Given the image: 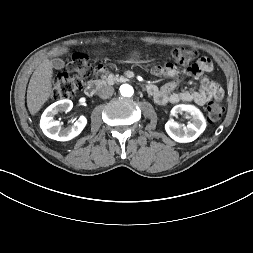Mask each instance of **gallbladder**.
Returning <instances> with one entry per match:
<instances>
[{"instance_id": "gallbladder-1", "label": "gallbladder", "mask_w": 253, "mask_h": 253, "mask_svg": "<svg viewBox=\"0 0 253 253\" xmlns=\"http://www.w3.org/2000/svg\"><path fill=\"white\" fill-rule=\"evenodd\" d=\"M51 63H52V66L57 70L63 69L65 66L64 61L60 58L52 59Z\"/></svg>"}]
</instances>
